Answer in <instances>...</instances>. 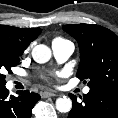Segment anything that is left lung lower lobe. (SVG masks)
<instances>
[{"label": "left lung lower lobe", "instance_id": "1", "mask_svg": "<svg viewBox=\"0 0 118 118\" xmlns=\"http://www.w3.org/2000/svg\"><path fill=\"white\" fill-rule=\"evenodd\" d=\"M73 108L68 118H118V93L105 90H90L81 102L69 94Z\"/></svg>", "mask_w": 118, "mask_h": 118}]
</instances>
